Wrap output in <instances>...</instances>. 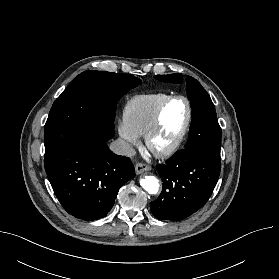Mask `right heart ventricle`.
I'll use <instances>...</instances> for the list:
<instances>
[{
  "label": "right heart ventricle",
  "mask_w": 279,
  "mask_h": 279,
  "mask_svg": "<svg viewBox=\"0 0 279 279\" xmlns=\"http://www.w3.org/2000/svg\"><path fill=\"white\" fill-rule=\"evenodd\" d=\"M170 96L159 92L132 97L125 106V121L138 135H144L152 124L159 106Z\"/></svg>",
  "instance_id": "1"
}]
</instances>
